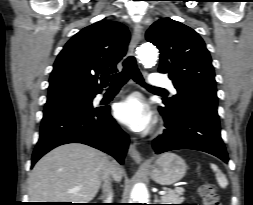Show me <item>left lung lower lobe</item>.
Wrapping results in <instances>:
<instances>
[{
    "label": "left lung lower lobe",
    "mask_w": 253,
    "mask_h": 205,
    "mask_svg": "<svg viewBox=\"0 0 253 205\" xmlns=\"http://www.w3.org/2000/svg\"><path fill=\"white\" fill-rule=\"evenodd\" d=\"M165 129L153 141L156 154L178 149H193L212 154L228 162L227 152L220 136L217 108L194 105L172 114L165 106L159 108Z\"/></svg>",
    "instance_id": "left-lung-lower-lobe-1"
}]
</instances>
